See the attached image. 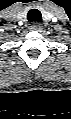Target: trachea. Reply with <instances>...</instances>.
<instances>
[{
	"mask_svg": "<svg viewBox=\"0 0 71 119\" xmlns=\"http://www.w3.org/2000/svg\"><path fill=\"white\" fill-rule=\"evenodd\" d=\"M28 21L42 22V15L38 9H31L27 14Z\"/></svg>",
	"mask_w": 71,
	"mask_h": 119,
	"instance_id": "obj_1",
	"label": "trachea"
}]
</instances>
